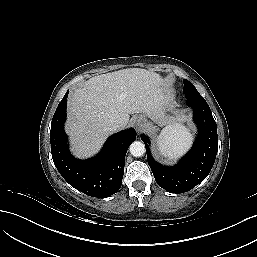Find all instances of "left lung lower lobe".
I'll list each match as a JSON object with an SVG mask.
<instances>
[{
  "label": "left lung lower lobe",
  "instance_id": "obj_1",
  "mask_svg": "<svg viewBox=\"0 0 257 257\" xmlns=\"http://www.w3.org/2000/svg\"><path fill=\"white\" fill-rule=\"evenodd\" d=\"M193 108V120L198 127V137L191 150L174 166H163L151 156L149 138L145 142L148 164L160 187L171 193H183L201 183L210 173L218 151L216 122L205 100L188 99Z\"/></svg>",
  "mask_w": 257,
  "mask_h": 257
}]
</instances>
